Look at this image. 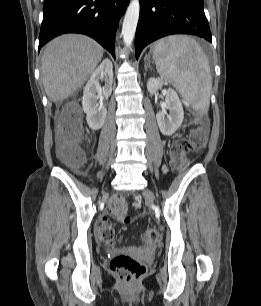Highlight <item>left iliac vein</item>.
Segmentation results:
<instances>
[{"label": "left iliac vein", "instance_id": "1", "mask_svg": "<svg viewBox=\"0 0 261 306\" xmlns=\"http://www.w3.org/2000/svg\"><path fill=\"white\" fill-rule=\"evenodd\" d=\"M144 197L148 200H154L155 199V195L153 194V192L151 190H149L148 188H145L143 191Z\"/></svg>", "mask_w": 261, "mask_h": 306}]
</instances>
